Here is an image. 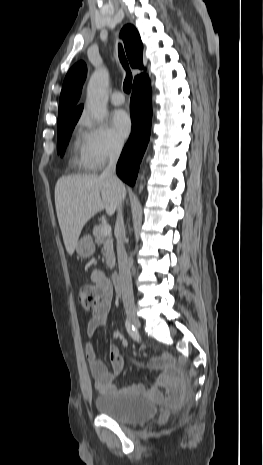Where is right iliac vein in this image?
Segmentation results:
<instances>
[{
    "label": "right iliac vein",
    "mask_w": 263,
    "mask_h": 465,
    "mask_svg": "<svg viewBox=\"0 0 263 465\" xmlns=\"http://www.w3.org/2000/svg\"><path fill=\"white\" fill-rule=\"evenodd\" d=\"M127 316L130 320V322L136 327V328H140L141 326V323H140V320L135 312V310L133 309H129L127 310Z\"/></svg>",
    "instance_id": "right-iliac-vein-1"
}]
</instances>
